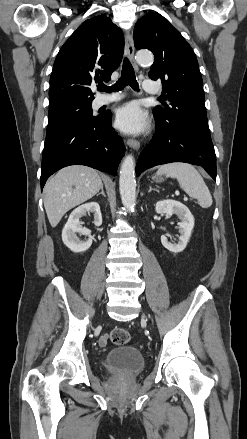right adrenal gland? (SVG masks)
I'll use <instances>...</instances> for the list:
<instances>
[{"mask_svg":"<svg viewBox=\"0 0 247 439\" xmlns=\"http://www.w3.org/2000/svg\"><path fill=\"white\" fill-rule=\"evenodd\" d=\"M100 194H102L104 197H106L105 193H104V188L103 185L101 186V192L97 194V196H99Z\"/></svg>","mask_w":247,"mask_h":439,"instance_id":"right-adrenal-gland-1","label":"right adrenal gland"}]
</instances>
